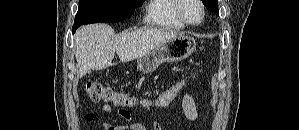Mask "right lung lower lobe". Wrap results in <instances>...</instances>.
I'll use <instances>...</instances> for the list:
<instances>
[{
	"label": "right lung lower lobe",
	"mask_w": 299,
	"mask_h": 130,
	"mask_svg": "<svg viewBox=\"0 0 299 130\" xmlns=\"http://www.w3.org/2000/svg\"><path fill=\"white\" fill-rule=\"evenodd\" d=\"M79 26L77 24L74 23V26H73V33L76 31V29L78 28Z\"/></svg>",
	"instance_id": "1"
}]
</instances>
